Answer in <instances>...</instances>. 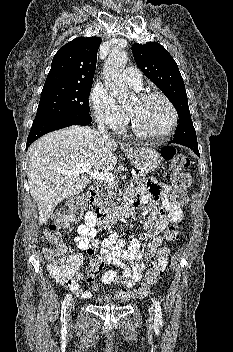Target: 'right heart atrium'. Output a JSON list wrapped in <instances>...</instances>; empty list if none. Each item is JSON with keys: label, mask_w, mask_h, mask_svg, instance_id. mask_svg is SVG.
I'll return each mask as SVG.
<instances>
[{"label": "right heart atrium", "mask_w": 233, "mask_h": 352, "mask_svg": "<svg viewBox=\"0 0 233 352\" xmlns=\"http://www.w3.org/2000/svg\"><path fill=\"white\" fill-rule=\"evenodd\" d=\"M91 99L98 123L115 131L124 127L126 116L106 92L94 90Z\"/></svg>", "instance_id": "right-heart-atrium-1"}]
</instances>
